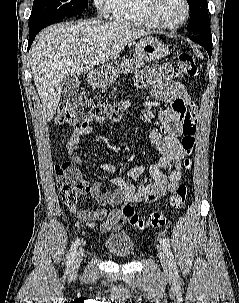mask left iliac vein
I'll return each instance as SVG.
<instances>
[{
  "label": "left iliac vein",
  "mask_w": 239,
  "mask_h": 303,
  "mask_svg": "<svg viewBox=\"0 0 239 303\" xmlns=\"http://www.w3.org/2000/svg\"><path fill=\"white\" fill-rule=\"evenodd\" d=\"M158 255H159V259H160L162 267L165 270H168L169 269V262H168V259H167L166 255H165V253L161 249H159Z\"/></svg>",
  "instance_id": "obj_1"
}]
</instances>
